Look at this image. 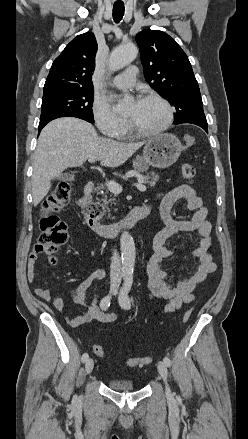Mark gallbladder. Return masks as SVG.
I'll return each instance as SVG.
<instances>
[{"label": "gallbladder", "instance_id": "gallbladder-1", "mask_svg": "<svg viewBox=\"0 0 248 439\" xmlns=\"http://www.w3.org/2000/svg\"><path fill=\"white\" fill-rule=\"evenodd\" d=\"M56 178L58 180H73L74 179V175L69 174V173H61Z\"/></svg>", "mask_w": 248, "mask_h": 439}]
</instances>
